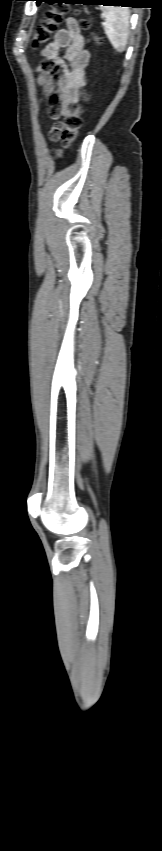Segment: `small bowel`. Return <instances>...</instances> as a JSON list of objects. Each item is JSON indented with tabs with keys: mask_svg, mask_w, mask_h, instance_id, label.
I'll return each instance as SVG.
<instances>
[{
	"mask_svg": "<svg viewBox=\"0 0 162 851\" xmlns=\"http://www.w3.org/2000/svg\"><path fill=\"white\" fill-rule=\"evenodd\" d=\"M61 49L64 51L60 56ZM40 54L45 60L38 67L37 82L49 102V115L56 119L70 113V107L78 101L80 89L85 85L89 53L84 48L77 21L67 18L65 27L55 33ZM55 91L56 95H53ZM53 130L50 136L56 141L58 138Z\"/></svg>",
	"mask_w": 162,
	"mask_h": 851,
	"instance_id": "small-bowel-1",
	"label": "small bowel"
}]
</instances>
